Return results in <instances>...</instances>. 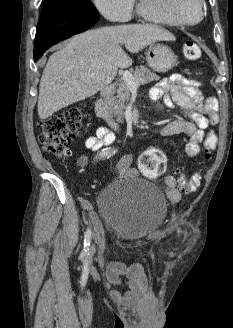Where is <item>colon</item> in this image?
Returning <instances> with one entry per match:
<instances>
[{"label": "colon", "mask_w": 233, "mask_h": 328, "mask_svg": "<svg viewBox=\"0 0 233 328\" xmlns=\"http://www.w3.org/2000/svg\"><path fill=\"white\" fill-rule=\"evenodd\" d=\"M184 56L189 60L200 57L201 51L194 42H187L183 48ZM84 113L79 108L69 109L61 114L51 116L40 125L39 141L42 149L59 158H68L71 155L70 143L79 134L83 125ZM216 136L209 133L205 138L203 159L209 161L213 157L216 145ZM141 172L147 177H158L166 170V157L157 148H149L142 153L139 159ZM179 188L183 193L191 194L197 191L201 184L200 173L186 178L181 171H177Z\"/></svg>", "instance_id": "5ec220e1"}]
</instances>
